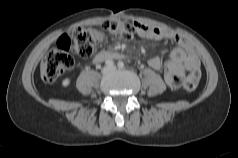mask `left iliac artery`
<instances>
[{"label": "left iliac artery", "instance_id": "44dca946", "mask_svg": "<svg viewBox=\"0 0 238 158\" xmlns=\"http://www.w3.org/2000/svg\"><path fill=\"white\" fill-rule=\"evenodd\" d=\"M118 67H119V68H123V67H124V63H123L122 61H119V62H118Z\"/></svg>", "mask_w": 238, "mask_h": 158}]
</instances>
